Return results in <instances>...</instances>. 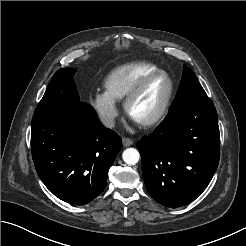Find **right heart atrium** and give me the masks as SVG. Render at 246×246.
I'll return each instance as SVG.
<instances>
[{
	"instance_id": "1",
	"label": "right heart atrium",
	"mask_w": 246,
	"mask_h": 246,
	"mask_svg": "<svg viewBox=\"0 0 246 246\" xmlns=\"http://www.w3.org/2000/svg\"><path fill=\"white\" fill-rule=\"evenodd\" d=\"M91 103L101 121L106 126L112 127L119 115L116 101L106 91H98L94 94Z\"/></svg>"
}]
</instances>
